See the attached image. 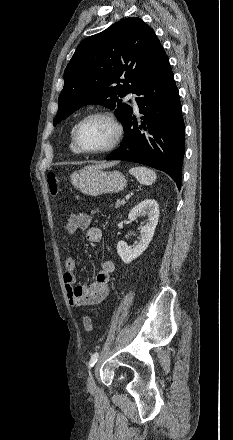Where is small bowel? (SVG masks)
Listing matches in <instances>:
<instances>
[{
    "instance_id": "small-bowel-1",
    "label": "small bowel",
    "mask_w": 233,
    "mask_h": 440,
    "mask_svg": "<svg viewBox=\"0 0 233 440\" xmlns=\"http://www.w3.org/2000/svg\"><path fill=\"white\" fill-rule=\"evenodd\" d=\"M97 213L98 210L95 209L89 213H71L64 227V239L69 240L78 230H86V240L89 243L100 242L102 231L97 227L90 226ZM76 265L75 258H66L63 280L70 305L82 307L101 303L109 293L110 276L114 271V263L111 260H104L94 281L88 285H75Z\"/></svg>"
}]
</instances>
